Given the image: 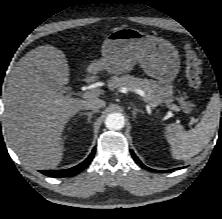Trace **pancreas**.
Masks as SVG:
<instances>
[{
    "instance_id": "pancreas-1",
    "label": "pancreas",
    "mask_w": 222,
    "mask_h": 219,
    "mask_svg": "<svg viewBox=\"0 0 222 219\" xmlns=\"http://www.w3.org/2000/svg\"><path fill=\"white\" fill-rule=\"evenodd\" d=\"M109 88L111 90L117 89L120 90L123 87L128 89H141L145 93V101H147L151 106L156 105L162 101L160 86L156 81L149 80L146 78H137L126 74L121 77L113 76L108 81ZM179 102L182 109L189 113L192 111L194 104L187 102L184 98H180Z\"/></svg>"
}]
</instances>
